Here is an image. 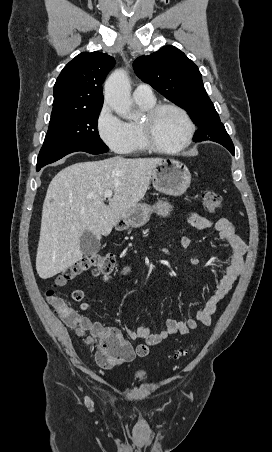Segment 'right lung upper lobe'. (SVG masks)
Here are the masks:
<instances>
[{"instance_id": "obj_1", "label": "right lung upper lobe", "mask_w": 272, "mask_h": 452, "mask_svg": "<svg viewBox=\"0 0 272 452\" xmlns=\"http://www.w3.org/2000/svg\"><path fill=\"white\" fill-rule=\"evenodd\" d=\"M115 60L101 52H82L61 71L54 85L52 115L102 107V83Z\"/></svg>"}]
</instances>
